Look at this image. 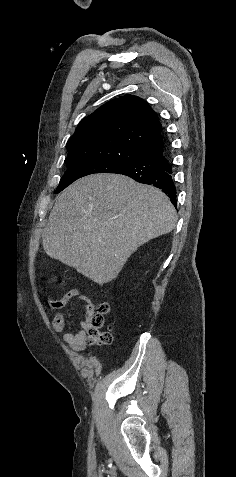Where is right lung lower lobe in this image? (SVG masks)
Segmentation results:
<instances>
[{"label":"right lung lower lobe","mask_w":236,"mask_h":477,"mask_svg":"<svg viewBox=\"0 0 236 477\" xmlns=\"http://www.w3.org/2000/svg\"><path fill=\"white\" fill-rule=\"evenodd\" d=\"M114 173L129 176L137 182L161 189L176 206V187L172 179V168L165 157L163 146Z\"/></svg>","instance_id":"98d812e1"}]
</instances>
